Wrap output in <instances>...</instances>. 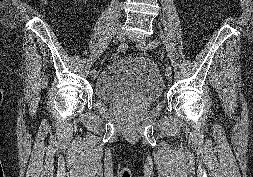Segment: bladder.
Returning a JSON list of instances; mask_svg holds the SVG:
<instances>
[{"instance_id": "obj_1", "label": "bladder", "mask_w": 253, "mask_h": 177, "mask_svg": "<svg viewBox=\"0 0 253 177\" xmlns=\"http://www.w3.org/2000/svg\"><path fill=\"white\" fill-rule=\"evenodd\" d=\"M163 90V79L156 65L137 57L115 58L94 83L95 95L107 103L128 99L151 106L162 97Z\"/></svg>"}]
</instances>
